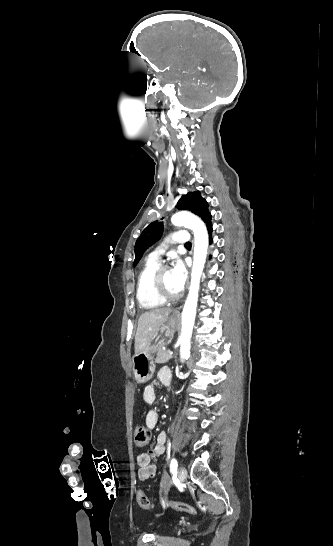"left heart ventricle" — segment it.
<instances>
[{
    "mask_svg": "<svg viewBox=\"0 0 333 546\" xmlns=\"http://www.w3.org/2000/svg\"><path fill=\"white\" fill-rule=\"evenodd\" d=\"M163 284H164V287L165 289L167 290L168 293L170 294H177L179 293L176 288L174 287L173 285V281H172V278H171V272L168 270L164 273L163 275Z\"/></svg>",
    "mask_w": 333,
    "mask_h": 546,
    "instance_id": "left-heart-ventricle-1",
    "label": "left heart ventricle"
}]
</instances>
